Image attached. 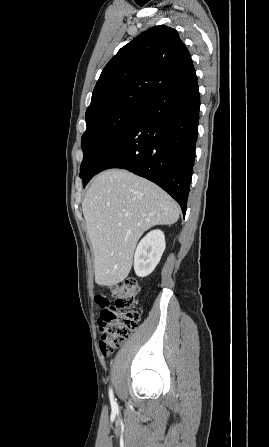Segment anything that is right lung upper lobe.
Masks as SVG:
<instances>
[{
    "mask_svg": "<svg viewBox=\"0 0 269 447\" xmlns=\"http://www.w3.org/2000/svg\"><path fill=\"white\" fill-rule=\"evenodd\" d=\"M193 66L176 30L155 26L122 47L103 69L85 118L143 104Z\"/></svg>",
    "mask_w": 269,
    "mask_h": 447,
    "instance_id": "1",
    "label": "right lung upper lobe"
}]
</instances>
